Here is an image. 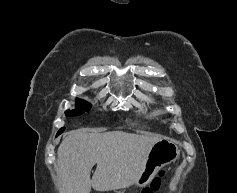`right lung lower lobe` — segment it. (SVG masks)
I'll return each mask as SVG.
<instances>
[{"mask_svg": "<svg viewBox=\"0 0 237 193\" xmlns=\"http://www.w3.org/2000/svg\"><path fill=\"white\" fill-rule=\"evenodd\" d=\"M63 131H64V128L60 129V130L58 131V133H57V136H58L59 134H61Z\"/></svg>", "mask_w": 237, "mask_h": 193, "instance_id": "right-lung-lower-lobe-1", "label": "right lung lower lobe"}]
</instances>
